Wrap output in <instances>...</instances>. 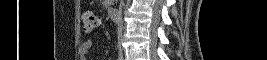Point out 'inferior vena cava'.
Masks as SVG:
<instances>
[{"label":"inferior vena cava","mask_w":267,"mask_h":60,"mask_svg":"<svg viewBox=\"0 0 267 60\" xmlns=\"http://www.w3.org/2000/svg\"><path fill=\"white\" fill-rule=\"evenodd\" d=\"M122 30H123V21L121 18V10L119 11V20H118V37L122 36Z\"/></svg>","instance_id":"1"}]
</instances>
